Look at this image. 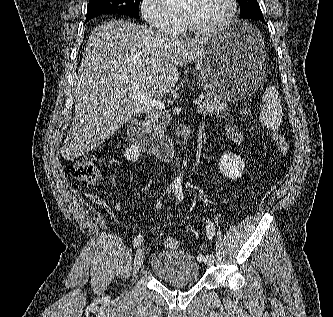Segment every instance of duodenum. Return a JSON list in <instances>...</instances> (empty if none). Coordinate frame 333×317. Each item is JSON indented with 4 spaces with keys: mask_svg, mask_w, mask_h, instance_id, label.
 Segmentation results:
<instances>
[{
    "mask_svg": "<svg viewBox=\"0 0 333 317\" xmlns=\"http://www.w3.org/2000/svg\"><path fill=\"white\" fill-rule=\"evenodd\" d=\"M128 134L142 150L154 154L162 161H171L178 151L179 144L185 145L189 142L193 135V128L184 127L177 142L149 131L142 122L134 120L128 125Z\"/></svg>",
    "mask_w": 333,
    "mask_h": 317,
    "instance_id": "duodenum-1",
    "label": "duodenum"
}]
</instances>
